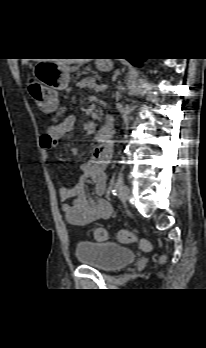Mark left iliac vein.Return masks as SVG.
<instances>
[{
  "mask_svg": "<svg viewBox=\"0 0 206 348\" xmlns=\"http://www.w3.org/2000/svg\"><path fill=\"white\" fill-rule=\"evenodd\" d=\"M118 197L119 199L122 201V202H126L129 197H130V189L127 185H123L119 194H118Z\"/></svg>",
  "mask_w": 206,
  "mask_h": 348,
  "instance_id": "left-iliac-vein-1",
  "label": "left iliac vein"
}]
</instances>
